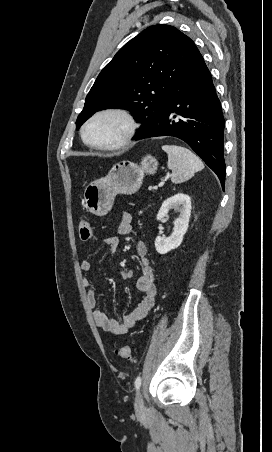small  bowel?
<instances>
[{
	"instance_id": "obj_1",
	"label": "small bowel",
	"mask_w": 272,
	"mask_h": 452,
	"mask_svg": "<svg viewBox=\"0 0 272 452\" xmlns=\"http://www.w3.org/2000/svg\"><path fill=\"white\" fill-rule=\"evenodd\" d=\"M132 232L133 215L130 212H124L120 219L118 233L120 235H129ZM104 243L108 247L109 253L114 255L120 246V239L117 236H107L104 238ZM136 251L141 265V274L136 280V287L143 293V297L139 304L129 311L121 321L114 320L108 317L103 311L97 309L95 288L91 280L87 277L82 280L83 286L87 289V303L93 310L95 324L98 328L109 334H125L138 321L146 317L156 302L157 288L154 284V272L147 257L146 244L143 241H137ZM91 266V261L88 259L80 263V268L83 271H89Z\"/></svg>"
}]
</instances>
